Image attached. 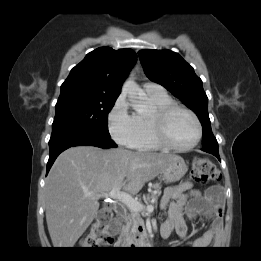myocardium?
I'll use <instances>...</instances> for the list:
<instances>
[{"label":"myocardium","mask_w":261,"mask_h":261,"mask_svg":"<svg viewBox=\"0 0 261 261\" xmlns=\"http://www.w3.org/2000/svg\"><path fill=\"white\" fill-rule=\"evenodd\" d=\"M178 110L184 111L187 114H189L194 120L196 125V130H197L196 137L192 143L186 146H177L173 144L169 140L166 132V124L168 118L173 112ZM150 126L152 130V134L157 144L162 148L171 151H176V152H185L193 149L199 144L203 134L202 125L196 113L190 108L177 103H171L163 108L152 111V113L150 114Z\"/></svg>","instance_id":"1"}]
</instances>
